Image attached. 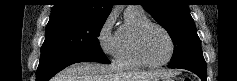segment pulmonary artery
<instances>
[{
	"instance_id": "e3ab8cb5",
	"label": "pulmonary artery",
	"mask_w": 237,
	"mask_h": 81,
	"mask_svg": "<svg viewBox=\"0 0 237 81\" xmlns=\"http://www.w3.org/2000/svg\"><path fill=\"white\" fill-rule=\"evenodd\" d=\"M127 9H138V10H142L140 7H128Z\"/></svg>"
}]
</instances>
